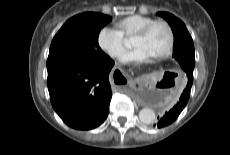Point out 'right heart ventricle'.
Masks as SVG:
<instances>
[{
	"label": "right heart ventricle",
	"mask_w": 230,
	"mask_h": 155,
	"mask_svg": "<svg viewBox=\"0 0 230 155\" xmlns=\"http://www.w3.org/2000/svg\"><path fill=\"white\" fill-rule=\"evenodd\" d=\"M153 20V18L148 16L132 15L117 22L116 26L124 36L132 37L146 24Z\"/></svg>",
	"instance_id": "1"
}]
</instances>
